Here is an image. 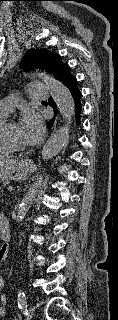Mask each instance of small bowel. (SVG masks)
Segmentation results:
<instances>
[{"instance_id": "obj_1", "label": "small bowel", "mask_w": 118, "mask_h": 320, "mask_svg": "<svg viewBox=\"0 0 118 320\" xmlns=\"http://www.w3.org/2000/svg\"><path fill=\"white\" fill-rule=\"evenodd\" d=\"M4 252L5 248L2 247L0 249V252ZM3 287H4V279L0 277V317H3L6 315V305H7V298L3 294Z\"/></svg>"}]
</instances>
